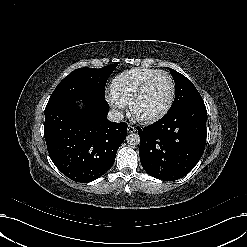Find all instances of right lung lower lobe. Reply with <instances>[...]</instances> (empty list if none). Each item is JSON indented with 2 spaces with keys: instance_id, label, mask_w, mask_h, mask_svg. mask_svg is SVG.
<instances>
[{
  "instance_id": "right-lung-lower-lobe-1",
  "label": "right lung lower lobe",
  "mask_w": 247,
  "mask_h": 247,
  "mask_svg": "<svg viewBox=\"0 0 247 247\" xmlns=\"http://www.w3.org/2000/svg\"><path fill=\"white\" fill-rule=\"evenodd\" d=\"M63 100L45 108L44 137L49 156L68 178L87 183L98 179L113 165L125 140L127 124L107 119L105 100Z\"/></svg>"
}]
</instances>
